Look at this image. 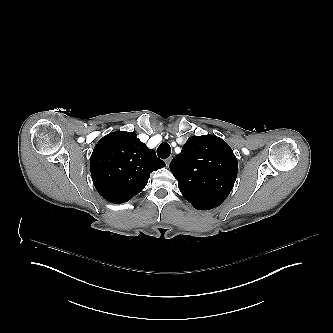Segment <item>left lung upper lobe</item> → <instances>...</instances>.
<instances>
[{
    "mask_svg": "<svg viewBox=\"0 0 333 333\" xmlns=\"http://www.w3.org/2000/svg\"><path fill=\"white\" fill-rule=\"evenodd\" d=\"M184 198L198 210L223 203L237 177L238 162L230 146L212 135L192 136L170 163Z\"/></svg>",
    "mask_w": 333,
    "mask_h": 333,
    "instance_id": "left-lung-upper-lobe-1",
    "label": "left lung upper lobe"
}]
</instances>
